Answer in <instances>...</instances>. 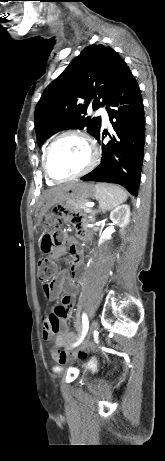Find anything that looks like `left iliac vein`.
I'll list each match as a JSON object with an SVG mask.
<instances>
[{"instance_id": "4c4485c4", "label": "left iliac vein", "mask_w": 165, "mask_h": 461, "mask_svg": "<svg viewBox=\"0 0 165 461\" xmlns=\"http://www.w3.org/2000/svg\"><path fill=\"white\" fill-rule=\"evenodd\" d=\"M97 328H98V322L96 320H93L91 325H90L89 334L92 335L96 331ZM84 346H85V344L82 347H84Z\"/></svg>"}]
</instances>
